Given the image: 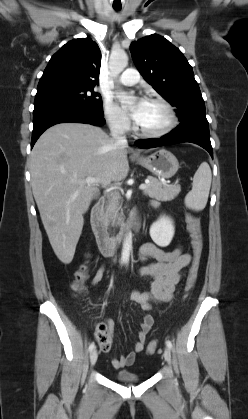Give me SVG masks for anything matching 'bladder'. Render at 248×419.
Instances as JSON below:
<instances>
[{
  "mask_svg": "<svg viewBox=\"0 0 248 419\" xmlns=\"http://www.w3.org/2000/svg\"><path fill=\"white\" fill-rule=\"evenodd\" d=\"M114 379L123 384H135L141 380L138 374L130 371H117L114 373Z\"/></svg>",
  "mask_w": 248,
  "mask_h": 419,
  "instance_id": "31cf9c89",
  "label": "bladder"
}]
</instances>
